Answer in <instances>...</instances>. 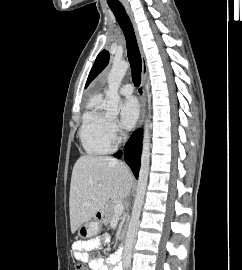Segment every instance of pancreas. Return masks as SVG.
Returning <instances> with one entry per match:
<instances>
[{
	"instance_id": "1",
	"label": "pancreas",
	"mask_w": 242,
	"mask_h": 270,
	"mask_svg": "<svg viewBox=\"0 0 242 270\" xmlns=\"http://www.w3.org/2000/svg\"><path fill=\"white\" fill-rule=\"evenodd\" d=\"M115 202H109L103 208V212L105 215L104 223H110L113 217L116 215L114 211ZM122 217V216H120Z\"/></svg>"
}]
</instances>
